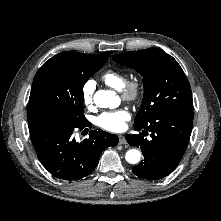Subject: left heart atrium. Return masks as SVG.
<instances>
[{
  "mask_svg": "<svg viewBox=\"0 0 221 221\" xmlns=\"http://www.w3.org/2000/svg\"><path fill=\"white\" fill-rule=\"evenodd\" d=\"M130 119V113L126 109L106 111L97 117L96 123L99 127L110 132H120Z\"/></svg>",
  "mask_w": 221,
  "mask_h": 221,
  "instance_id": "obj_1",
  "label": "left heart atrium"
}]
</instances>
